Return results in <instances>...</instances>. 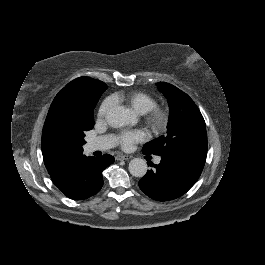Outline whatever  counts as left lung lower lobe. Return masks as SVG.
<instances>
[{"mask_svg":"<svg viewBox=\"0 0 265 265\" xmlns=\"http://www.w3.org/2000/svg\"><path fill=\"white\" fill-rule=\"evenodd\" d=\"M205 160L206 154L197 152L161 156V162L154 165V170H148L141 178L139 187L157 201L176 199L198 180Z\"/></svg>","mask_w":265,"mask_h":265,"instance_id":"left-lung-lower-lobe-1","label":"left lung lower lobe"}]
</instances>
